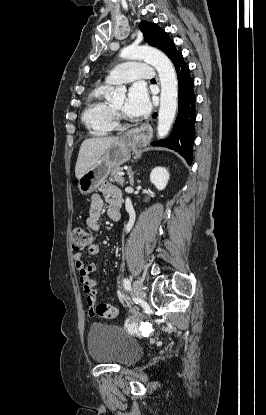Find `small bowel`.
<instances>
[{
    "label": "small bowel",
    "mask_w": 266,
    "mask_h": 415,
    "mask_svg": "<svg viewBox=\"0 0 266 415\" xmlns=\"http://www.w3.org/2000/svg\"><path fill=\"white\" fill-rule=\"evenodd\" d=\"M100 191L101 194L92 195L87 217V225L93 231H97L100 228L104 199L109 204L107 213L112 220H118L121 215L120 208L122 205V195L119 189L112 184L104 183L102 184ZM87 251L89 255L95 256L99 253L100 248L97 244L93 243L88 246ZM73 261L75 268L79 272L80 282L82 283L87 296L86 300L89 313L92 315V310L95 307L97 299V291L96 281L91 277V274L96 270V265L94 263L85 264L83 254L80 251L74 253Z\"/></svg>",
    "instance_id": "1"
}]
</instances>
